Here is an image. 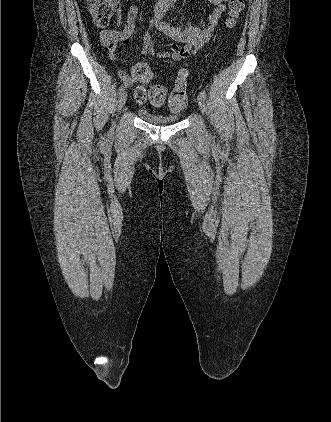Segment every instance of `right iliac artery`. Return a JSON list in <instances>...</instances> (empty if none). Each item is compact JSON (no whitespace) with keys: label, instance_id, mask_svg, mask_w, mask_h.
Instances as JSON below:
<instances>
[{"label":"right iliac artery","instance_id":"82829eb1","mask_svg":"<svg viewBox=\"0 0 331 422\" xmlns=\"http://www.w3.org/2000/svg\"><path fill=\"white\" fill-rule=\"evenodd\" d=\"M124 91V86L123 85H121L119 88H118V94L120 95V93H122Z\"/></svg>","mask_w":331,"mask_h":422}]
</instances>
